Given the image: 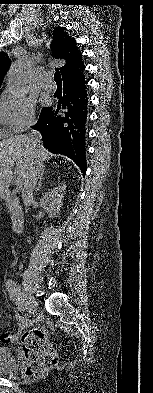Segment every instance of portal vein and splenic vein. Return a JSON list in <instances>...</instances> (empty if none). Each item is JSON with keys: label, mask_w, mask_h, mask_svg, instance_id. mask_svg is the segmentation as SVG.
<instances>
[{"label": "portal vein and splenic vein", "mask_w": 153, "mask_h": 393, "mask_svg": "<svg viewBox=\"0 0 153 393\" xmlns=\"http://www.w3.org/2000/svg\"><path fill=\"white\" fill-rule=\"evenodd\" d=\"M17 186H20L21 185V181L18 179L17 181H16V183H15Z\"/></svg>", "instance_id": "18ae733b"}]
</instances>
